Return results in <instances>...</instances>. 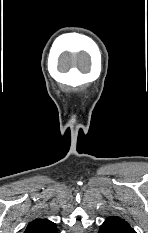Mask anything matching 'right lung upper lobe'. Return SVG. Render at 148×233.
I'll return each instance as SVG.
<instances>
[{"label":"right lung upper lobe","instance_id":"right-lung-upper-lobe-1","mask_svg":"<svg viewBox=\"0 0 148 233\" xmlns=\"http://www.w3.org/2000/svg\"><path fill=\"white\" fill-rule=\"evenodd\" d=\"M24 233H58L56 224L48 219H35L27 225Z\"/></svg>","mask_w":148,"mask_h":233}]
</instances>
